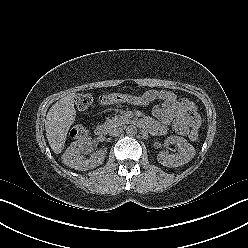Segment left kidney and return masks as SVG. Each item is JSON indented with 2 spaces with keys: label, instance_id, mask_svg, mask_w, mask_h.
<instances>
[{
  "label": "left kidney",
  "instance_id": "left-kidney-1",
  "mask_svg": "<svg viewBox=\"0 0 248 248\" xmlns=\"http://www.w3.org/2000/svg\"><path fill=\"white\" fill-rule=\"evenodd\" d=\"M166 143L173 144L178 147V154H168L167 152H160L157 155V160L166 167H178L188 163L196 154L195 148L188 143L186 139L180 136H170Z\"/></svg>",
  "mask_w": 248,
  "mask_h": 248
}]
</instances>
